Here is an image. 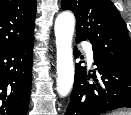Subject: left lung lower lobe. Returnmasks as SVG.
Segmentation results:
<instances>
[{
    "label": "left lung lower lobe",
    "mask_w": 131,
    "mask_h": 115,
    "mask_svg": "<svg viewBox=\"0 0 131 115\" xmlns=\"http://www.w3.org/2000/svg\"><path fill=\"white\" fill-rule=\"evenodd\" d=\"M81 38L76 37V43ZM80 52L75 47L74 56ZM93 75L86 76V68L76 65L74 86L65 115H100L121 107H131V71L103 58L93 50ZM92 72V71H91ZM92 78L93 81H88Z\"/></svg>",
    "instance_id": "1"
}]
</instances>
